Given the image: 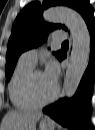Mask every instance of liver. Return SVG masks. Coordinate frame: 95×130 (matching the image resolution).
I'll list each match as a JSON object with an SVG mask.
<instances>
[{
  "mask_svg": "<svg viewBox=\"0 0 95 130\" xmlns=\"http://www.w3.org/2000/svg\"><path fill=\"white\" fill-rule=\"evenodd\" d=\"M43 116L41 112L11 111L2 121V130H36L37 121Z\"/></svg>",
  "mask_w": 95,
  "mask_h": 130,
  "instance_id": "obj_1",
  "label": "liver"
}]
</instances>
